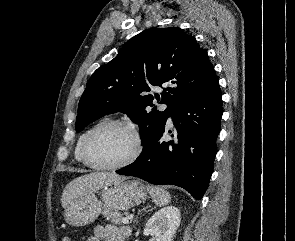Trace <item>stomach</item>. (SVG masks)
<instances>
[{
  "label": "stomach",
  "mask_w": 295,
  "mask_h": 241,
  "mask_svg": "<svg viewBox=\"0 0 295 241\" xmlns=\"http://www.w3.org/2000/svg\"><path fill=\"white\" fill-rule=\"evenodd\" d=\"M148 191L139 180H122L102 188L101 200L94 192L85 193L74 199L64 212L65 221L75 227L93 223L105 210L126 211L141 204Z\"/></svg>",
  "instance_id": "0dacf381"
}]
</instances>
